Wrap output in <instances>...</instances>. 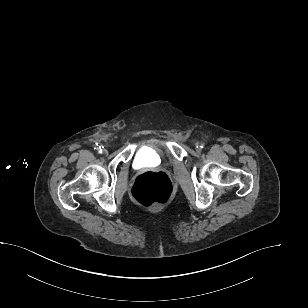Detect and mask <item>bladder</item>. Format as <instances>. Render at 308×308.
I'll use <instances>...</instances> for the list:
<instances>
[{
	"label": "bladder",
	"mask_w": 308,
	"mask_h": 308,
	"mask_svg": "<svg viewBox=\"0 0 308 308\" xmlns=\"http://www.w3.org/2000/svg\"><path fill=\"white\" fill-rule=\"evenodd\" d=\"M163 160L162 151L156 146H146L141 148L135 157V163L139 166H148L150 164H160Z\"/></svg>",
	"instance_id": "bladder-1"
}]
</instances>
